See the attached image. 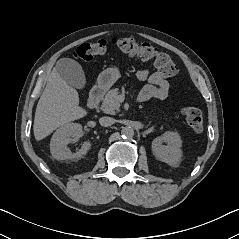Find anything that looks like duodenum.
<instances>
[{"instance_id":"obj_1","label":"duodenum","mask_w":239,"mask_h":239,"mask_svg":"<svg viewBox=\"0 0 239 239\" xmlns=\"http://www.w3.org/2000/svg\"><path fill=\"white\" fill-rule=\"evenodd\" d=\"M103 93L104 88L101 86H96L92 89L88 98V106L91 109H94L98 105L101 97L103 96Z\"/></svg>"}]
</instances>
